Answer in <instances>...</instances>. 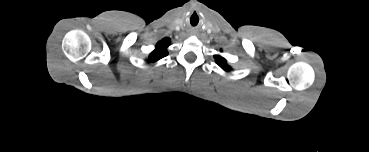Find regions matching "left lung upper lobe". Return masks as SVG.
I'll return each mask as SVG.
<instances>
[{
	"label": "left lung upper lobe",
	"instance_id": "5c2ea615",
	"mask_svg": "<svg viewBox=\"0 0 369 152\" xmlns=\"http://www.w3.org/2000/svg\"><path fill=\"white\" fill-rule=\"evenodd\" d=\"M214 58H215V60H216L217 64H218V65H219L223 70H225V71H230V70H231L230 66H229V65H227V62H226V60H225L223 57H221L220 55H215V56H214Z\"/></svg>",
	"mask_w": 369,
	"mask_h": 152
}]
</instances>
